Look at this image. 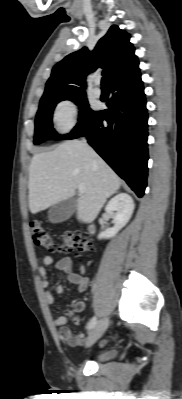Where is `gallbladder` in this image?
<instances>
[{
	"instance_id": "1",
	"label": "gallbladder",
	"mask_w": 182,
	"mask_h": 399,
	"mask_svg": "<svg viewBox=\"0 0 182 399\" xmlns=\"http://www.w3.org/2000/svg\"><path fill=\"white\" fill-rule=\"evenodd\" d=\"M77 209V197H71L54 204L49 212L48 219L51 223H60L69 219Z\"/></svg>"
}]
</instances>
